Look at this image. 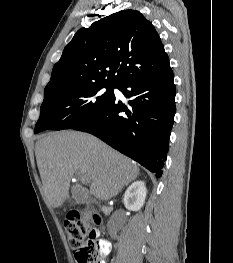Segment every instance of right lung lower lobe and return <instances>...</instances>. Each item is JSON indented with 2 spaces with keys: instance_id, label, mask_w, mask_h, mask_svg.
Instances as JSON below:
<instances>
[{
  "instance_id": "98d812e1",
  "label": "right lung lower lobe",
  "mask_w": 233,
  "mask_h": 263,
  "mask_svg": "<svg viewBox=\"0 0 233 263\" xmlns=\"http://www.w3.org/2000/svg\"><path fill=\"white\" fill-rule=\"evenodd\" d=\"M173 78L168 67L159 74L125 81L118 87L132 98L128 108L114 97L73 129L97 136L160 177L175 115Z\"/></svg>"
}]
</instances>
